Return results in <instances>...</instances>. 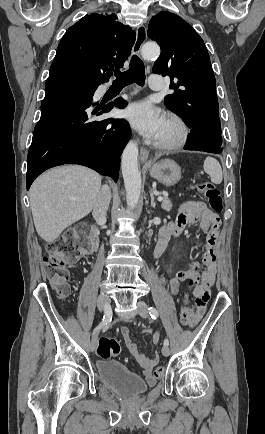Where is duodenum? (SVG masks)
<instances>
[{"label":"duodenum","mask_w":265,"mask_h":434,"mask_svg":"<svg viewBox=\"0 0 265 434\" xmlns=\"http://www.w3.org/2000/svg\"><path fill=\"white\" fill-rule=\"evenodd\" d=\"M91 229H98V227L93 226ZM165 248H166L165 241H163L162 239H159L155 245V248H154V256L156 258H159L163 254Z\"/></svg>","instance_id":"410a0bca"}]
</instances>
